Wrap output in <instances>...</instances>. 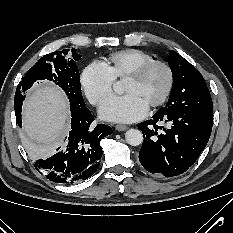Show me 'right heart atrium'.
Listing matches in <instances>:
<instances>
[{
  "instance_id": "d8ad5b80",
  "label": "right heart atrium",
  "mask_w": 233,
  "mask_h": 233,
  "mask_svg": "<svg viewBox=\"0 0 233 233\" xmlns=\"http://www.w3.org/2000/svg\"><path fill=\"white\" fill-rule=\"evenodd\" d=\"M114 81L106 66L99 62L87 65L80 77L83 92L93 105L100 104L112 93Z\"/></svg>"
}]
</instances>
